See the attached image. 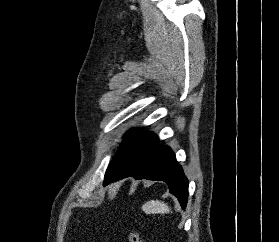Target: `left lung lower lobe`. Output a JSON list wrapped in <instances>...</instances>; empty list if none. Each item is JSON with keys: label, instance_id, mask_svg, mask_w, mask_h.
<instances>
[{"label": "left lung lower lobe", "instance_id": "1", "mask_svg": "<svg viewBox=\"0 0 279 242\" xmlns=\"http://www.w3.org/2000/svg\"><path fill=\"white\" fill-rule=\"evenodd\" d=\"M130 176L135 179L166 182L170 193L177 197L181 207H186L188 201V180L181 166L176 161L174 152L168 146L158 144L154 146L138 161L133 163L118 180Z\"/></svg>", "mask_w": 279, "mask_h": 242}]
</instances>
